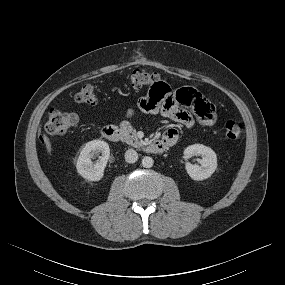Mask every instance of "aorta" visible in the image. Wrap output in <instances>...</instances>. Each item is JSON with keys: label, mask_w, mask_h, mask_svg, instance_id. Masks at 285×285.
Here are the masks:
<instances>
[{"label": "aorta", "mask_w": 285, "mask_h": 285, "mask_svg": "<svg viewBox=\"0 0 285 285\" xmlns=\"http://www.w3.org/2000/svg\"><path fill=\"white\" fill-rule=\"evenodd\" d=\"M154 164V160L149 157V156H145L142 159V166L145 168H151Z\"/></svg>", "instance_id": "obj_1"}]
</instances>
